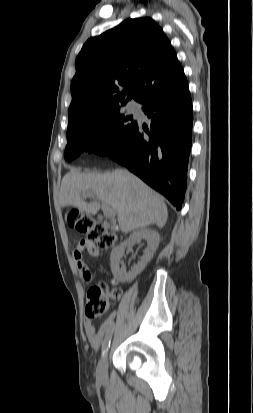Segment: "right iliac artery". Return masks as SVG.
Listing matches in <instances>:
<instances>
[{
	"label": "right iliac artery",
	"instance_id": "right-iliac-artery-1",
	"mask_svg": "<svg viewBox=\"0 0 253 413\" xmlns=\"http://www.w3.org/2000/svg\"><path fill=\"white\" fill-rule=\"evenodd\" d=\"M113 330H114V327L110 329V331L107 333V335L104 338V341L102 344V357L106 356L107 351L110 347L111 336H112Z\"/></svg>",
	"mask_w": 253,
	"mask_h": 413
}]
</instances>
